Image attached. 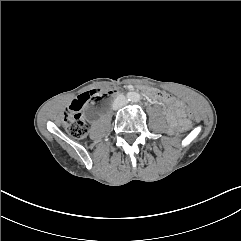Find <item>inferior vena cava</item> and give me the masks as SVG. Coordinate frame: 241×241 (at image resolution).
I'll return each instance as SVG.
<instances>
[{
    "label": "inferior vena cava",
    "instance_id": "1",
    "mask_svg": "<svg viewBox=\"0 0 241 241\" xmlns=\"http://www.w3.org/2000/svg\"><path fill=\"white\" fill-rule=\"evenodd\" d=\"M128 103L127 98L124 95H118L113 102V109L117 110Z\"/></svg>",
    "mask_w": 241,
    "mask_h": 241
}]
</instances>
